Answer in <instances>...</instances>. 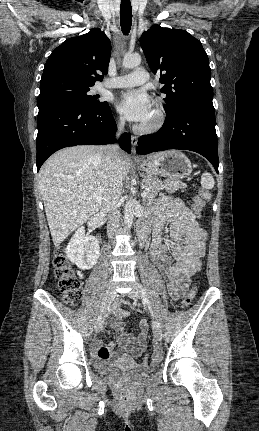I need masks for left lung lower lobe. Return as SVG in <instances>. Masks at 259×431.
I'll return each mask as SVG.
<instances>
[{
  "label": "left lung lower lobe",
  "instance_id": "0a47b994",
  "mask_svg": "<svg viewBox=\"0 0 259 431\" xmlns=\"http://www.w3.org/2000/svg\"><path fill=\"white\" fill-rule=\"evenodd\" d=\"M169 149L197 152L207 158L218 173L215 111L194 105L178 107L166 113L165 122L157 133L138 140V154Z\"/></svg>",
  "mask_w": 259,
  "mask_h": 431
}]
</instances>
